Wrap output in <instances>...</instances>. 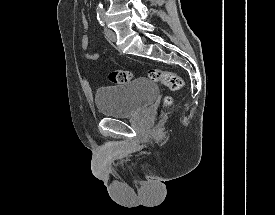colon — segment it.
<instances>
[{
  "label": "colon",
  "mask_w": 275,
  "mask_h": 215,
  "mask_svg": "<svg viewBox=\"0 0 275 215\" xmlns=\"http://www.w3.org/2000/svg\"><path fill=\"white\" fill-rule=\"evenodd\" d=\"M148 77L154 81L163 84L170 90L176 91L183 87V80L177 74L163 70V69H150ZM132 78L131 72L127 70H113L109 74V79L114 84H124ZM173 102L171 97H166L164 100L165 106L171 105Z\"/></svg>",
  "instance_id": "1"
}]
</instances>
